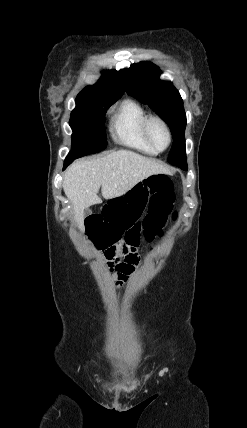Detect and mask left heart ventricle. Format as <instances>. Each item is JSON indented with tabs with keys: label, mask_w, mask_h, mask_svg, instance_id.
<instances>
[{
	"label": "left heart ventricle",
	"mask_w": 247,
	"mask_h": 428,
	"mask_svg": "<svg viewBox=\"0 0 247 428\" xmlns=\"http://www.w3.org/2000/svg\"><path fill=\"white\" fill-rule=\"evenodd\" d=\"M151 135L159 148H164L167 145L168 137L161 125L154 123L151 127Z\"/></svg>",
	"instance_id": "obj_1"
}]
</instances>
